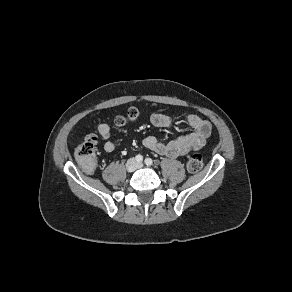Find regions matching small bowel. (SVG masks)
<instances>
[{
	"instance_id": "obj_1",
	"label": "small bowel",
	"mask_w": 292,
	"mask_h": 292,
	"mask_svg": "<svg viewBox=\"0 0 292 292\" xmlns=\"http://www.w3.org/2000/svg\"><path fill=\"white\" fill-rule=\"evenodd\" d=\"M150 121L159 128L170 129L173 125L172 119L168 115L159 112L153 113ZM187 122L192 128V132L177 136L166 143L159 141L154 136H148L143 139V145L160 155L171 158H178L193 150L202 148L211 134L212 126L210 122L196 114H189ZM97 131L100 138L104 141V150L107 153L114 152L116 145L110 140L111 132L109 125L105 123L100 124Z\"/></svg>"
}]
</instances>
